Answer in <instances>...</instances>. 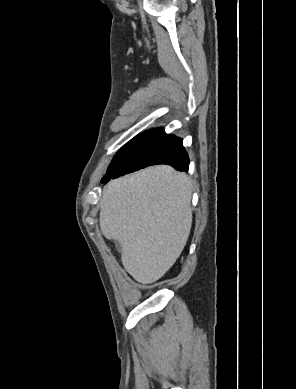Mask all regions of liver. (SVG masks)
<instances>
[{
    "instance_id": "liver-1",
    "label": "liver",
    "mask_w": 296,
    "mask_h": 389,
    "mask_svg": "<svg viewBox=\"0 0 296 389\" xmlns=\"http://www.w3.org/2000/svg\"><path fill=\"white\" fill-rule=\"evenodd\" d=\"M192 183L168 165L110 181L103 190L100 229L120 242L125 270L142 284L160 279L184 249L192 225Z\"/></svg>"
}]
</instances>
